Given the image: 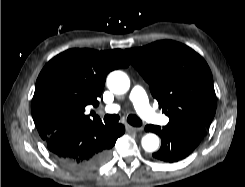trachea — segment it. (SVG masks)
Wrapping results in <instances>:
<instances>
[{"label": "trachea", "mask_w": 245, "mask_h": 187, "mask_svg": "<svg viewBox=\"0 0 245 187\" xmlns=\"http://www.w3.org/2000/svg\"><path fill=\"white\" fill-rule=\"evenodd\" d=\"M120 119V117L116 114H106L103 118L105 124H113V123H116L118 122ZM127 121L129 124H131L132 126H136V127H139L142 125V121L139 117H137L136 115H129L127 117Z\"/></svg>", "instance_id": "1"}]
</instances>
